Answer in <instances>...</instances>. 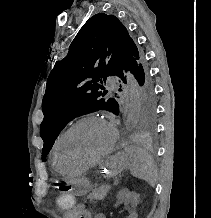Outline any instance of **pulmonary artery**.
Wrapping results in <instances>:
<instances>
[{"instance_id": "e3ab8cb5", "label": "pulmonary artery", "mask_w": 211, "mask_h": 218, "mask_svg": "<svg viewBox=\"0 0 211 218\" xmlns=\"http://www.w3.org/2000/svg\"><path fill=\"white\" fill-rule=\"evenodd\" d=\"M108 79H111V76H108ZM106 89L112 91L113 95L117 94V91L120 90L118 80H105Z\"/></svg>"}]
</instances>
